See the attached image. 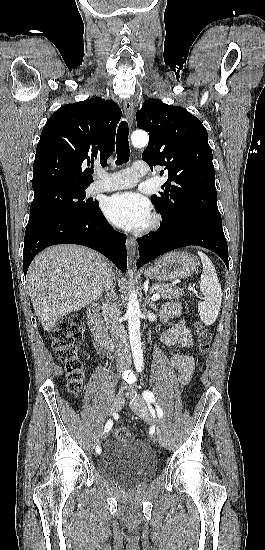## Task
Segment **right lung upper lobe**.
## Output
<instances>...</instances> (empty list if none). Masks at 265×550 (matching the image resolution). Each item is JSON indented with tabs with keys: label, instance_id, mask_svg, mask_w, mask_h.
Here are the masks:
<instances>
[{
	"label": "right lung upper lobe",
	"instance_id": "1",
	"mask_svg": "<svg viewBox=\"0 0 265 550\" xmlns=\"http://www.w3.org/2000/svg\"><path fill=\"white\" fill-rule=\"evenodd\" d=\"M121 115L116 103L99 97L60 107L45 124L37 145L33 189H86L93 178L85 167L94 161L106 165Z\"/></svg>",
	"mask_w": 265,
	"mask_h": 550
}]
</instances>
